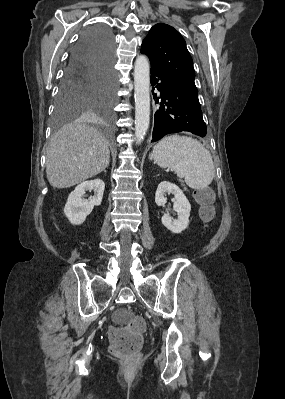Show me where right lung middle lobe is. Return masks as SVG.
<instances>
[{
  "label": "right lung middle lobe",
  "mask_w": 285,
  "mask_h": 399,
  "mask_svg": "<svg viewBox=\"0 0 285 399\" xmlns=\"http://www.w3.org/2000/svg\"><path fill=\"white\" fill-rule=\"evenodd\" d=\"M114 90V81L85 83L63 78L55 105L56 124L82 111H90L103 119L110 120Z\"/></svg>",
  "instance_id": "right-lung-middle-lobe-1"
}]
</instances>
